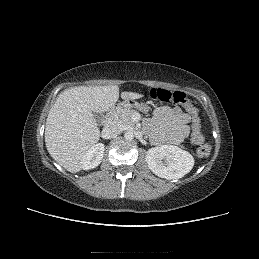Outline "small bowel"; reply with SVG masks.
<instances>
[{
  "instance_id": "small-bowel-1",
  "label": "small bowel",
  "mask_w": 259,
  "mask_h": 259,
  "mask_svg": "<svg viewBox=\"0 0 259 259\" xmlns=\"http://www.w3.org/2000/svg\"><path fill=\"white\" fill-rule=\"evenodd\" d=\"M189 114L180 108L168 106L157 108L153 113L152 120L147 123L154 131L155 142L178 144L188 136H192Z\"/></svg>"
}]
</instances>
